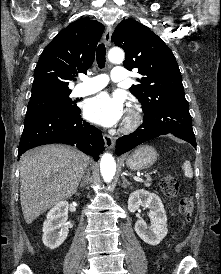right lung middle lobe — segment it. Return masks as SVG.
<instances>
[{"label": "right lung middle lobe", "mask_w": 221, "mask_h": 274, "mask_svg": "<svg viewBox=\"0 0 221 274\" xmlns=\"http://www.w3.org/2000/svg\"><path fill=\"white\" fill-rule=\"evenodd\" d=\"M70 93L52 95L30 100L28 103L26 117L55 110L76 112L79 110L76 102L69 98Z\"/></svg>", "instance_id": "dd1d6c3e"}]
</instances>
